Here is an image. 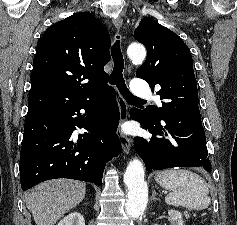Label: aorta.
Listing matches in <instances>:
<instances>
[{"label": "aorta", "instance_id": "obj_1", "mask_svg": "<svg viewBox=\"0 0 237 225\" xmlns=\"http://www.w3.org/2000/svg\"><path fill=\"white\" fill-rule=\"evenodd\" d=\"M127 55L133 63H142L146 57L145 48L133 43L127 49ZM145 171L143 163L135 158L129 162L124 173V183L128 187L127 213L136 218L140 216L148 199V186L144 180Z\"/></svg>", "mask_w": 237, "mask_h": 225}]
</instances>
